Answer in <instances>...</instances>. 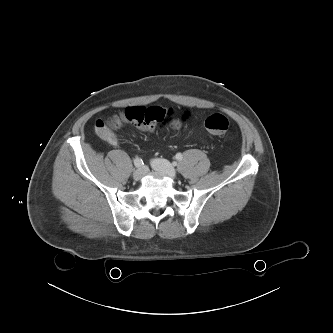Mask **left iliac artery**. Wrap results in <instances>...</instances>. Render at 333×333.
Segmentation results:
<instances>
[{
	"mask_svg": "<svg viewBox=\"0 0 333 333\" xmlns=\"http://www.w3.org/2000/svg\"><path fill=\"white\" fill-rule=\"evenodd\" d=\"M175 158L176 160L181 161L183 159V155L181 153H177Z\"/></svg>",
	"mask_w": 333,
	"mask_h": 333,
	"instance_id": "left-iliac-artery-1",
	"label": "left iliac artery"
}]
</instances>
